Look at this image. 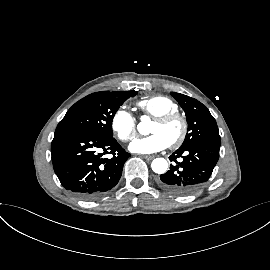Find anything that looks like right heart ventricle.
<instances>
[{"label":"right heart ventricle","mask_w":270,"mask_h":270,"mask_svg":"<svg viewBox=\"0 0 270 270\" xmlns=\"http://www.w3.org/2000/svg\"><path fill=\"white\" fill-rule=\"evenodd\" d=\"M137 106L143 114L156 118L166 113L178 112V105L169 97L156 95L141 99Z\"/></svg>","instance_id":"1"}]
</instances>
